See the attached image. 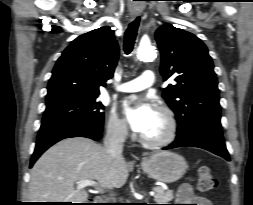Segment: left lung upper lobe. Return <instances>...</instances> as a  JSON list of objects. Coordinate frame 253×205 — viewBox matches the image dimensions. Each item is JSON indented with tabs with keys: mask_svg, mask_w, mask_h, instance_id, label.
I'll return each mask as SVG.
<instances>
[{
	"mask_svg": "<svg viewBox=\"0 0 253 205\" xmlns=\"http://www.w3.org/2000/svg\"><path fill=\"white\" fill-rule=\"evenodd\" d=\"M155 38L161 75L175 81L164 89L163 98L176 114L177 136L185 138L202 123L221 124L217 78L205 44L171 24L159 27Z\"/></svg>",
	"mask_w": 253,
	"mask_h": 205,
	"instance_id": "left-lung-upper-lobe-1",
	"label": "left lung upper lobe"
}]
</instances>
